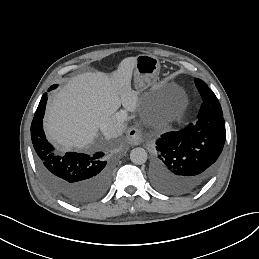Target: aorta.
<instances>
[{"label": "aorta", "mask_w": 259, "mask_h": 259, "mask_svg": "<svg viewBox=\"0 0 259 259\" xmlns=\"http://www.w3.org/2000/svg\"><path fill=\"white\" fill-rule=\"evenodd\" d=\"M130 159L136 165L144 164L147 161V152L140 147L134 148L130 152Z\"/></svg>", "instance_id": "1"}]
</instances>
